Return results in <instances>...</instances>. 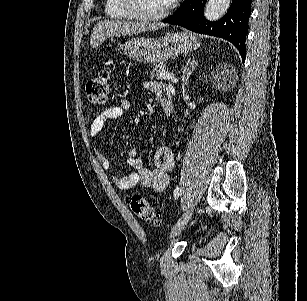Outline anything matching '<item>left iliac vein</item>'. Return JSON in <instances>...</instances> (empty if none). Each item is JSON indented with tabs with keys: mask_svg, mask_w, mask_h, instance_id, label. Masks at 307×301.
Segmentation results:
<instances>
[{
	"mask_svg": "<svg viewBox=\"0 0 307 301\" xmlns=\"http://www.w3.org/2000/svg\"><path fill=\"white\" fill-rule=\"evenodd\" d=\"M195 209H196V206L191 205L189 208H187L184 211V213L178 219L176 224L173 226L172 231H171V237L174 238V237L178 236L183 231V229L185 228V226L189 222L192 214L195 212Z\"/></svg>",
	"mask_w": 307,
	"mask_h": 301,
	"instance_id": "4c4485c4",
	"label": "left iliac vein"
}]
</instances>
